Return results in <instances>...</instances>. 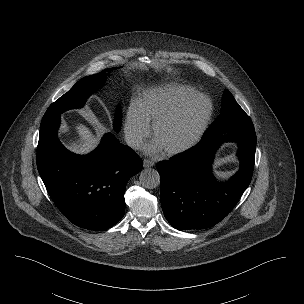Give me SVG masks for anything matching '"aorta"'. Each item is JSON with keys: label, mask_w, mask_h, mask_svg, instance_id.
<instances>
[{"label": "aorta", "mask_w": 304, "mask_h": 304, "mask_svg": "<svg viewBox=\"0 0 304 304\" xmlns=\"http://www.w3.org/2000/svg\"><path fill=\"white\" fill-rule=\"evenodd\" d=\"M139 180L144 188L154 189L160 184V175L157 170L147 168L140 172Z\"/></svg>", "instance_id": "762f6f07"}]
</instances>
